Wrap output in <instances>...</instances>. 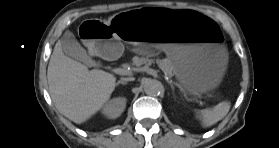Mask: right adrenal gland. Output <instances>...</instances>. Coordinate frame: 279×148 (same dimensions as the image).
<instances>
[{"label": "right adrenal gland", "mask_w": 279, "mask_h": 148, "mask_svg": "<svg viewBox=\"0 0 279 148\" xmlns=\"http://www.w3.org/2000/svg\"><path fill=\"white\" fill-rule=\"evenodd\" d=\"M119 84L125 85V84H127V82L120 80V81H118V82L116 83V85L118 86Z\"/></svg>", "instance_id": "2a0ac1e0"}]
</instances>
